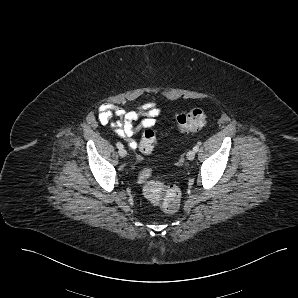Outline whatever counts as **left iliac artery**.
<instances>
[{
    "label": "left iliac artery",
    "instance_id": "obj_1",
    "mask_svg": "<svg viewBox=\"0 0 298 298\" xmlns=\"http://www.w3.org/2000/svg\"><path fill=\"white\" fill-rule=\"evenodd\" d=\"M193 150L195 151V152H197L198 150H199V146H194V148H193Z\"/></svg>",
    "mask_w": 298,
    "mask_h": 298
}]
</instances>
